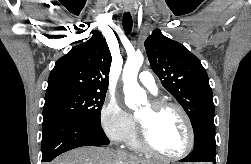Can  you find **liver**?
Masks as SVG:
<instances>
[{"mask_svg": "<svg viewBox=\"0 0 251 164\" xmlns=\"http://www.w3.org/2000/svg\"><path fill=\"white\" fill-rule=\"evenodd\" d=\"M51 164H155L136 156L102 147H80L64 153Z\"/></svg>", "mask_w": 251, "mask_h": 164, "instance_id": "6515ba94", "label": "liver"}]
</instances>
